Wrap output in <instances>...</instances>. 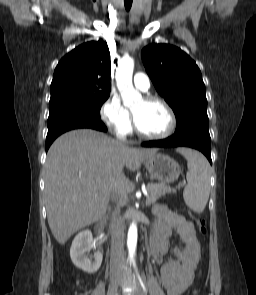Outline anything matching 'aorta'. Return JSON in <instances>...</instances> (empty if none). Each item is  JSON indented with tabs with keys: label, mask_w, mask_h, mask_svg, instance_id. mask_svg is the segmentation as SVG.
Returning <instances> with one entry per match:
<instances>
[{
	"label": "aorta",
	"mask_w": 256,
	"mask_h": 295,
	"mask_svg": "<svg viewBox=\"0 0 256 295\" xmlns=\"http://www.w3.org/2000/svg\"><path fill=\"white\" fill-rule=\"evenodd\" d=\"M134 69V60L130 57H124L119 62L116 71V82L121 94L124 106L130 107L142 100L141 94L134 89L132 84V74ZM137 246V225L132 222L127 236V248L130 260H133Z\"/></svg>",
	"instance_id": "obj_1"
}]
</instances>
